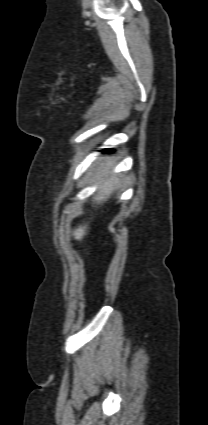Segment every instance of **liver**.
Wrapping results in <instances>:
<instances>
[{
	"label": "liver",
	"instance_id": "obj_1",
	"mask_svg": "<svg viewBox=\"0 0 208 425\" xmlns=\"http://www.w3.org/2000/svg\"><path fill=\"white\" fill-rule=\"evenodd\" d=\"M110 168H111V164L110 163L106 164L103 167V170L96 175V178L102 179L103 177H105L109 173ZM118 185H119V179L117 176L107 178L104 181V183L101 185V187L99 188L97 194L93 197V201L97 203L106 201L111 196L113 191L118 187ZM86 230H87V225H83V226L80 225L78 226V228L72 231V235L74 236L76 240H82L83 237L86 235Z\"/></svg>",
	"mask_w": 208,
	"mask_h": 425
}]
</instances>
